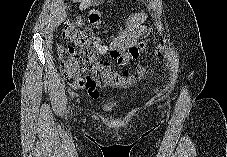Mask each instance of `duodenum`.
<instances>
[{
    "mask_svg": "<svg viewBox=\"0 0 227 157\" xmlns=\"http://www.w3.org/2000/svg\"><path fill=\"white\" fill-rule=\"evenodd\" d=\"M93 21H102V16H93Z\"/></svg>",
    "mask_w": 227,
    "mask_h": 157,
    "instance_id": "410a0bca",
    "label": "duodenum"
}]
</instances>
